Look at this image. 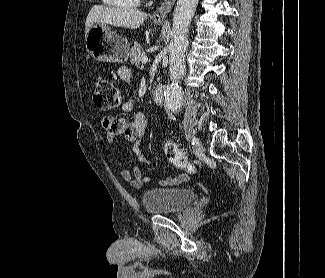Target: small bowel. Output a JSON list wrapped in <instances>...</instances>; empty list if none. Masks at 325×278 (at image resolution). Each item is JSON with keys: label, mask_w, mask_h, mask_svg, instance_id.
I'll return each mask as SVG.
<instances>
[{"label": "small bowel", "mask_w": 325, "mask_h": 278, "mask_svg": "<svg viewBox=\"0 0 325 278\" xmlns=\"http://www.w3.org/2000/svg\"><path fill=\"white\" fill-rule=\"evenodd\" d=\"M118 76L126 82L131 80V72L126 67L119 68ZM120 109L124 113L132 112L134 110V100H125L121 104ZM102 127L110 143L115 144L120 136H124V138L133 145V151L138 160L142 163H151V159L143 155L140 150V139L147 128V117L144 112L136 111L131 118L115 119L111 116H104L102 118ZM121 176L125 181L136 188H140L150 181V177L143 174L138 166L134 167L132 171L123 168L121 170ZM186 179L187 176L182 174L176 178L162 179L160 185L168 186Z\"/></svg>", "instance_id": "c3829d8e"}]
</instances>
